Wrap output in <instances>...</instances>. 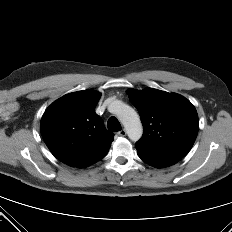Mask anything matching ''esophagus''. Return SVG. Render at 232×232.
<instances>
[{
    "mask_svg": "<svg viewBox=\"0 0 232 232\" xmlns=\"http://www.w3.org/2000/svg\"><path fill=\"white\" fill-rule=\"evenodd\" d=\"M118 135L119 136H126V130L125 129H122V130H120L119 132H118Z\"/></svg>",
    "mask_w": 232,
    "mask_h": 232,
    "instance_id": "1",
    "label": "esophagus"
}]
</instances>
